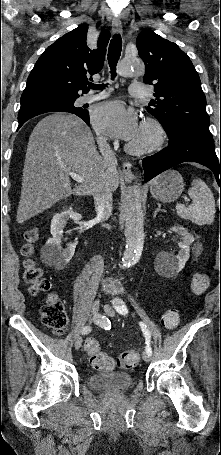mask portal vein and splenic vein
Instances as JSON below:
<instances>
[{
	"label": "portal vein and splenic vein",
	"instance_id": "18ae733b",
	"mask_svg": "<svg viewBox=\"0 0 221 455\" xmlns=\"http://www.w3.org/2000/svg\"><path fill=\"white\" fill-rule=\"evenodd\" d=\"M69 175L72 177L73 180L77 181L78 183L84 182V178L74 172L69 171Z\"/></svg>",
	"mask_w": 221,
	"mask_h": 455
}]
</instances>
